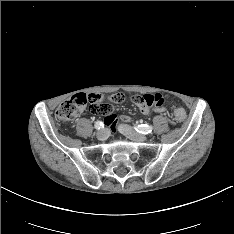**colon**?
<instances>
[{
  "label": "colon",
  "instance_id": "colon-1",
  "mask_svg": "<svg viewBox=\"0 0 234 234\" xmlns=\"http://www.w3.org/2000/svg\"><path fill=\"white\" fill-rule=\"evenodd\" d=\"M87 96V94L80 93L64 101L56 110V118L61 122H69L76 118L84 108H87L88 110V105L86 103ZM185 118V110L182 108H177L174 112V120L180 122Z\"/></svg>",
  "mask_w": 234,
  "mask_h": 234
}]
</instances>
